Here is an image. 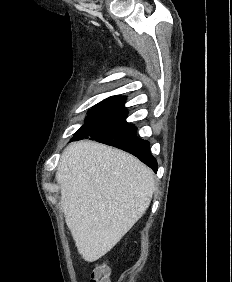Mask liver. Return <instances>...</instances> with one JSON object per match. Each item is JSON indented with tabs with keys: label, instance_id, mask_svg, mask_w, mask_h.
I'll return each instance as SVG.
<instances>
[{
	"label": "liver",
	"instance_id": "1",
	"mask_svg": "<svg viewBox=\"0 0 232 282\" xmlns=\"http://www.w3.org/2000/svg\"><path fill=\"white\" fill-rule=\"evenodd\" d=\"M56 180L79 254L93 262L109 252L147 210L155 176L134 156L83 140L64 150Z\"/></svg>",
	"mask_w": 232,
	"mask_h": 282
}]
</instances>
